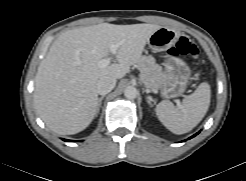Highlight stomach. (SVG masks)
<instances>
[{
	"label": "stomach",
	"instance_id": "1",
	"mask_svg": "<svg viewBox=\"0 0 246 181\" xmlns=\"http://www.w3.org/2000/svg\"><path fill=\"white\" fill-rule=\"evenodd\" d=\"M180 33L168 27H161L148 40V45L154 51H165L179 39ZM165 77L155 90H159L164 98L181 96L190 81L192 72L185 61L180 58H167L164 62Z\"/></svg>",
	"mask_w": 246,
	"mask_h": 181
}]
</instances>
